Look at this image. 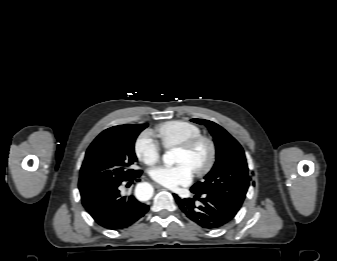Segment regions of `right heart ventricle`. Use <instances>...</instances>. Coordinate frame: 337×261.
Wrapping results in <instances>:
<instances>
[{"label":"right heart ventricle","mask_w":337,"mask_h":261,"mask_svg":"<svg viewBox=\"0 0 337 261\" xmlns=\"http://www.w3.org/2000/svg\"><path fill=\"white\" fill-rule=\"evenodd\" d=\"M156 133L162 144L167 147L179 146L181 143L201 135V129L190 122L173 120L156 127Z\"/></svg>","instance_id":"right-heart-ventricle-1"}]
</instances>
